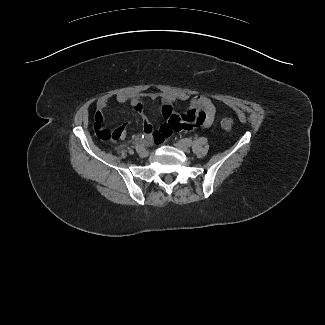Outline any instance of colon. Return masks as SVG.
Returning a JSON list of instances; mask_svg holds the SVG:
<instances>
[{
  "label": "colon",
  "instance_id": "colon-1",
  "mask_svg": "<svg viewBox=\"0 0 325 325\" xmlns=\"http://www.w3.org/2000/svg\"><path fill=\"white\" fill-rule=\"evenodd\" d=\"M221 126L224 130L230 131L232 128V121L229 118H222L221 119ZM95 133L97 137L103 142H112L116 141L120 137V133L117 129L108 130L103 128L101 124L95 123L94 126Z\"/></svg>",
  "mask_w": 325,
  "mask_h": 325
}]
</instances>
